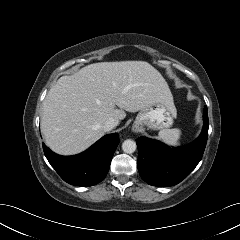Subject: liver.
<instances>
[{"label": "liver", "mask_w": 240, "mask_h": 240, "mask_svg": "<svg viewBox=\"0 0 240 240\" xmlns=\"http://www.w3.org/2000/svg\"><path fill=\"white\" fill-rule=\"evenodd\" d=\"M157 102L173 103L161 73L145 61L101 62L62 76L49 90L41 116L45 143L62 155L80 153L104 134L109 118ZM119 107V109L116 108Z\"/></svg>", "instance_id": "obj_1"}]
</instances>
